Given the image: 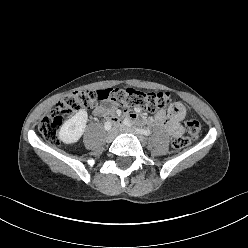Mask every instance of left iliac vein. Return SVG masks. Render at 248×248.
<instances>
[{"instance_id":"obj_1","label":"left iliac vein","mask_w":248,"mask_h":248,"mask_svg":"<svg viewBox=\"0 0 248 248\" xmlns=\"http://www.w3.org/2000/svg\"><path fill=\"white\" fill-rule=\"evenodd\" d=\"M119 131L122 132V133H132V134H135L141 142H144L145 139L144 137H142L138 132H136L135 130L125 126V125H120L119 127Z\"/></svg>"}]
</instances>
